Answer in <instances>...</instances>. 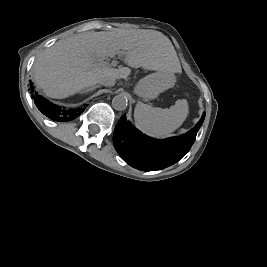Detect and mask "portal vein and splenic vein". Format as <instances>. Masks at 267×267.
Wrapping results in <instances>:
<instances>
[{
    "mask_svg": "<svg viewBox=\"0 0 267 267\" xmlns=\"http://www.w3.org/2000/svg\"><path fill=\"white\" fill-rule=\"evenodd\" d=\"M119 56H121V55H119ZM98 63H99V64H105V65L108 64L106 61H104V59L98 60ZM111 64H112L113 66H115V65H117V62H116V61H112Z\"/></svg>",
    "mask_w": 267,
    "mask_h": 267,
    "instance_id": "18ae733b",
    "label": "portal vein and splenic vein"
}]
</instances>
